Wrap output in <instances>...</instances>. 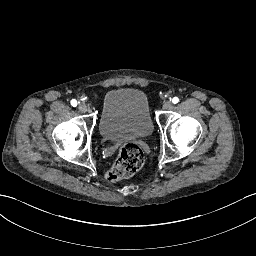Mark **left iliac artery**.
I'll return each instance as SVG.
<instances>
[{
    "label": "left iliac artery",
    "instance_id": "1",
    "mask_svg": "<svg viewBox=\"0 0 256 256\" xmlns=\"http://www.w3.org/2000/svg\"><path fill=\"white\" fill-rule=\"evenodd\" d=\"M178 102H179V98L178 97H174L172 99V103L177 104Z\"/></svg>",
    "mask_w": 256,
    "mask_h": 256
}]
</instances>
